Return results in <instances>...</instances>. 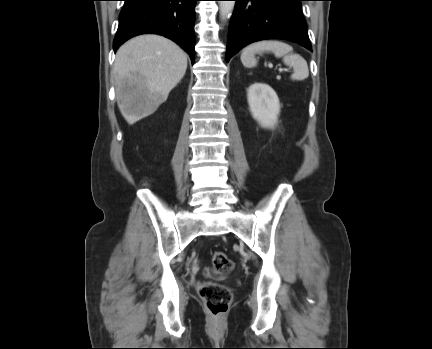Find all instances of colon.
<instances>
[{"label":"colon","instance_id":"colon-1","mask_svg":"<svg viewBox=\"0 0 432 349\" xmlns=\"http://www.w3.org/2000/svg\"><path fill=\"white\" fill-rule=\"evenodd\" d=\"M212 266L218 275H226L234 268L232 260H230L228 256L221 251L213 253ZM200 294L205 300L207 308L214 316L225 314L232 301V293L230 289L215 283L205 284L201 288Z\"/></svg>","mask_w":432,"mask_h":349}]
</instances>
